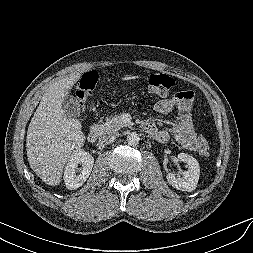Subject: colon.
I'll return each mask as SVG.
<instances>
[{
    "label": "colon",
    "mask_w": 253,
    "mask_h": 253,
    "mask_svg": "<svg viewBox=\"0 0 253 253\" xmlns=\"http://www.w3.org/2000/svg\"><path fill=\"white\" fill-rule=\"evenodd\" d=\"M98 81V75L95 72H88L83 75L76 90V98L81 107H84L92 90ZM174 86V79L163 73H153L149 75L146 90L154 96H166ZM175 98L182 102L192 103L194 96L191 91L184 90L176 93ZM198 151L201 155H207L209 146L205 139L199 138Z\"/></svg>",
    "instance_id": "5ec220e1"
}]
</instances>
